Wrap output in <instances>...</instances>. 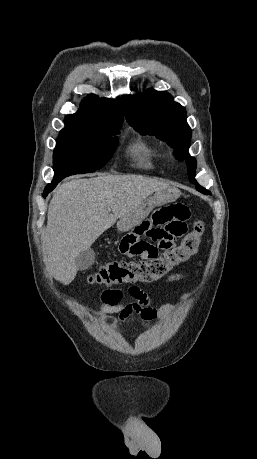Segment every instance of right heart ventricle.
Returning <instances> with one entry per match:
<instances>
[{
	"label": "right heart ventricle",
	"instance_id": "1",
	"mask_svg": "<svg viewBox=\"0 0 257 459\" xmlns=\"http://www.w3.org/2000/svg\"><path fill=\"white\" fill-rule=\"evenodd\" d=\"M128 152L134 162L145 169L154 168L156 161L162 157L157 147L142 139L131 144Z\"/></svg>",
	"mask_w": 257,
	"mask_h": 459
}]
</instances>
